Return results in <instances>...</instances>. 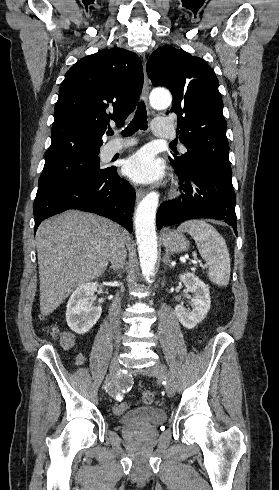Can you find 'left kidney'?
I'll use <instances>...</instances> for the list:
<instances>
[{
	"mask_svg": "<svg viewBox=\"0 0 279 490\" xmlns=\"http://www.w3.org/2000/svg\"><path fill=\"white\" fill-rule=\"evenodd\" d=\"M180 282L184 284L186 292H191L193 310L189 312L182 304L175 308V314L182 326L187 330H193L197 324H200L206 318L211 304L210 292L208 286L199 280L195 274L187 272L179 276Z\"/></svg>",
	"mask_w": 279,
	"mask_h": 490,
	"instance_id": "obj_1",
	"label": "left kidney"
}]
</instances>
